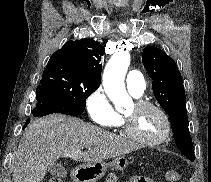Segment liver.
Masks as SVG:
<instances>
[{
    "mask_svg": "<svg viewBox=\"0 0 211 182\" xmlns=\"http://www.w3.org/2000/svg\"><path fill=\"white\" fill-rule=\"evenodd\" d=\"M84 148L90 150L82 152ZM136 149L132 141L78 118L51 114L34 120L25 130L15 153L13 181L42 182L47 170L62 157L91 163Z\"/></svg>",
    "mask_w": 211,
    "mask_h": 182,
    "instance_id": "liver-1",
    "label": "liver"
}]
</instances>
